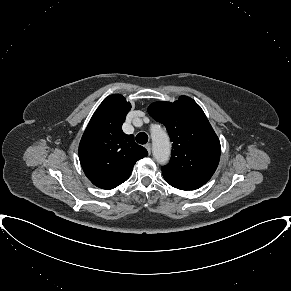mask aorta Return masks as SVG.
<instances>
[{"label":"aorta","instance_id":"aorta-1","mask_svg":"<svg viewBox=\"0 0 291 291\" xmlns=\"http://www.w3.org/2000/svg\"><path fill=\"white\" fill-rule=\"evenodd\" d=\"M152 151L155 160L160 164H166L170 158L171 144L167 133L157 127L151 133Z\"/></svg>","mask_w":291,"mask_h":291}]
</instances>
